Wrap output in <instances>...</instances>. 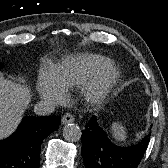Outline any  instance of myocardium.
<instances>
[{"mask_svg":"<svg viewBox=\"0 0 168 168\" xmlns=\"http://www.w3.org/2000/svg\"><path fill=\"white\" fill-rule=\"evenodd\" d=\"M120 76L119 68L113 62H107L94 76L82 87L85 101L92 107L102 105L115 86Z\"/></svg>","mask_w":168,"mask_h":168,"instance_id":"obj_1","label":"myocardium"}]
</instances>
